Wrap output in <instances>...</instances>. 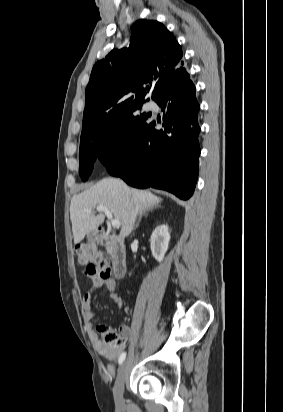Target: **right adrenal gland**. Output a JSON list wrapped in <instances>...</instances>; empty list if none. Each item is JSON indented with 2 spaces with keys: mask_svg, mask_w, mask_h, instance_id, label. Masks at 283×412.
<instances>
[{
  "mask_svg": "<svg viewBox=\"0 0 283 412\" xmlns=\"http://www.w3.org/2000/svg\"><path fill=\"white\" fill-rule=\"evenodd\" d=\"M143 215H146V211H144V212L140 213L139 218H138V221H137V223H136V226H135V227H138L139 222L141 221V219H142V216H143Z\"/></svg>",
  "mask_w": 283,
  "mask_h": 412,
  "instance_id": "obj_1",
  "label": "right adrenal gland"
}]
</instances>
